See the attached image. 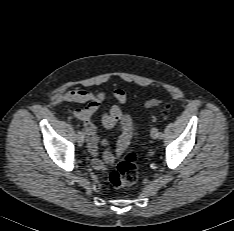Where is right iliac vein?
Segmentation results:
<instances>
[{"label": "right iliac vein", "mask_w": 234, "mask_h": 231, "mask_svg": "<svg viewBox=\"0 0 234 231\" xmlns=\"http://www.w3.org/2000/svg\"><path fill=\"white\" fill-rule=\"evenodd\" d=\"M77 142L79 146H82L84 143V138L77 136Z\"/></svg>", "instance_id": "1"}]
</instances>
